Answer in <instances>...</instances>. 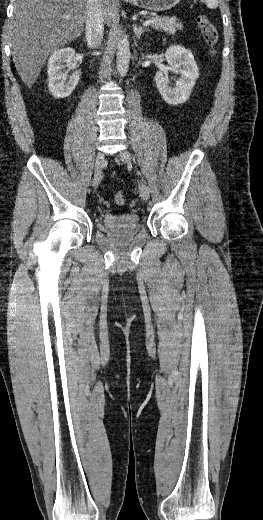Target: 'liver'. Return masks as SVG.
<instances>
[{
	"label": "liver",
	"mask_w": 263,
	"mask_h": 520,
	"mask_svg": "<svg viewBox=\"0 0 263 520\" xmlns=\"http://www.w3.org/2000/svg\"><path fill=\"white\" fill-rule=\"evenodd\" d=\"M88 0H14L9 27L13 62L30 88L50 54L79 37L87 18ZM104 21L117 13V0H103ZM65 16H69L66 19Z\"/></svg>",
	"instance_id": "6515ba94"
}]
</instances>
